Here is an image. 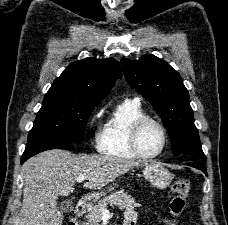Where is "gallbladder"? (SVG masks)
Segmentation results:
<instances>
[{
  "label": "gallbladder",
  "mask_w": 228,
  "mask_h": 225,
  "mask_svg": "<svg viewBox=\"0 0 228 225\" xmlns=\"http://www.w3.org/2000/svg\"><path fill=\"white\" fill-rule=\"evenodd\" d=\"M73 203L72 201H69V199H65V201H62L59 205V209L61 213H71L73 211Z\"/></svg>",
  "instance_id": "gallbladder-1"
}]
</instances>
